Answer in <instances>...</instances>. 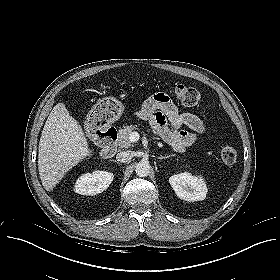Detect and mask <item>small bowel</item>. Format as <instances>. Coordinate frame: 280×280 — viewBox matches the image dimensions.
Returning a JSON list of instances; mask_svg holds the SVG:
<instances>
[{"label": "small bowel", "instance_id": "obj_1", "mask_svg": "<svg viewBox=\"0 0 280 280\" xmlns=\"http://www.w3.org/2000/svg\"><path fill=\"white\" fill-rule=\"evenodd\" d=\"M137 116L148 120L156 133L178 152L189 149L206 131L201 118L180 112L170 97L163 93L149 97L137 111ZM183 126L190 131L182 129Z\"/></svg>", "mask_w": 280, "mask_h": 280}]
</instances>
